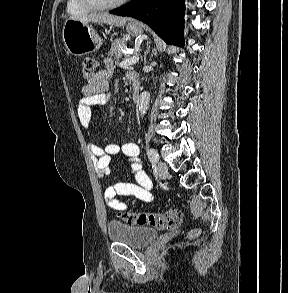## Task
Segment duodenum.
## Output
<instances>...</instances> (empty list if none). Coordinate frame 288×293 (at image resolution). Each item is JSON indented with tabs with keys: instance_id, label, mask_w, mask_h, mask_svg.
Wrapping results in <instances>:
<instances>
[{
	"instance_id": "410a0bca",
	"label": "duodenum",
	"mask_w": 288,
	"mask_h": 293,
	"mask_svg": "<svg viewBox=\"0 0 288 293\" xmlns=\"http://www.w3.org/2000/svg\"><path fill=\"white\" fill-rule=\"evenodd\" d=\"M130 83L132 86V99L134 102H136L139 99L141 89V83L138 76L132 75L130 77Z\"/></svg>"
}]
</instances>
